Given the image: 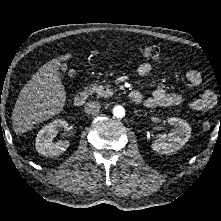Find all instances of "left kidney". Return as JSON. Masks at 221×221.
<instances>
[{
	"mask_svg": "<svg viewBox=\"0 0 221 221\" xmlns=\"http://www.w3.org/2000/svg\"><path fill=\"white\" fill-rule=\"evenodd\" d=\"M167 122L174 127V129L161 136L151 144L153 151L159 154L169 155L177 152L182 148L191 136V127L189 124L180 118L169 117Z\"/></svg>",
	"mask_w": 221,
	"mask_h": 221,
	"instance_id": "1",
	"label": "left kidney"
}]
</instances>
